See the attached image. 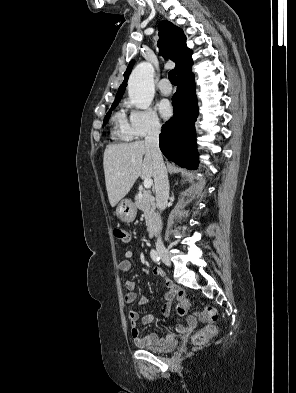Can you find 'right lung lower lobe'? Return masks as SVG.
Masks as SVG:
<instances>
[{"label": "right lung lower lobe", "mask_w": 296, "mask_h": 393, "mask_svg": "<svg viewBox=\"0 0 296 393\" xmlns=\"http://www.w3.org/2000/svg\"><path fill=\"white\" fill-rule=\"evenodd\" d=\"M192 64L193 62L177 74L179 85L172 98L174 116L162 127L159 136L162 153L188 169H195L198 162L194 127L198 105Z\"/></svg>", "instance_id": "obj_1"}]
</instances>
